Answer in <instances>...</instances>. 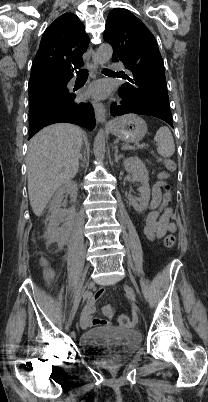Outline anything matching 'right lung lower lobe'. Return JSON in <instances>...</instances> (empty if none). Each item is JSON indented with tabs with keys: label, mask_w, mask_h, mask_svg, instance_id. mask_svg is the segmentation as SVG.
I'll return each mask as SVG.
<instances>
[{
	"label": "right lung lower lobe",
	"mask_w": 208,
	"mask_h": 402,
	"mask_svg": "<svg viewBox=\"0 0 208 402\" xmlns=\"http://www.w3.org/2000/svg\"><path fill=\"white\" fill-rule=\"evenodd\" d=\"M54 82L57 84L63 83L54 80L31 81L29 82V90H34L44 84ZM60 122L77 124L89 130H93L96 124L93 107L89 102L77 103L73 100L68 106L44 112L29 125L28 140L45 126Z\"/></svg>",
	"instance_id": "1"
}]
</instances>
